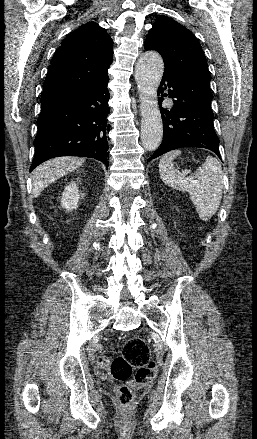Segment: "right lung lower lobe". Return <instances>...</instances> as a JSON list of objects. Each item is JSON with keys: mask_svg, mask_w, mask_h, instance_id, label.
<instances>
[{"mask_svg": "<svg viewBox=\"0 0 257 439\" xmlns=\"http://www.w3.org/2000/svg\"><path fill=\"white\" fill-rule=\"evenodd\" d=\"M108 81L106 76L94 84L41 102L30 171L57 156L95 158L108 167Z\"/></svg>", "mask_w": 257, "mask_h": 439, "instance_id": "right-lung-lower-lobe-1", "label": "right lung lower lobe"}]
</instances>
